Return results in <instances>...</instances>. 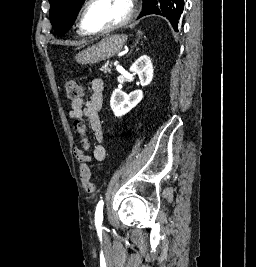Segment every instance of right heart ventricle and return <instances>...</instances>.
Masks as SVG:
<instances>
[{"label":"right heart ventricle","mask_w":256,"mask_h":267,"mask_svg":"<svg viewBox=\"0 0 256 267\" xmlns=\"http://www.w3.org/2000/svg\"><path fill=\"white\" fill-rule=\"evenodd\" d=\"M76 32L80 37H86L87 35L83 33V31L80 29L79 24L76 26Z\"/></svg>","instance_id":"1"}]
</instances>
